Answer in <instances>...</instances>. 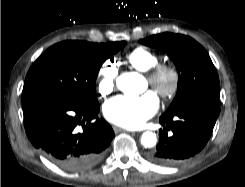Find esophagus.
Wrapping results in <instances>:
<instances>
[{
  "instance_id": "esophagus-1",
  "label": "esophagus",
  "mask_w": 245,
  "mask_h": 187,
  "mask_svg": "<svg viewBox=\"0 0 245 187\" xmlns=\"http://www.w3.org/2000/svg\"><path fill=\"white\" fill-rule=\"evenodd\" d=\"M113 129H114L115 132L127 131V130H125L123 128H120V127H117V126H114Z\"/></svg>"
}]
</instances>
